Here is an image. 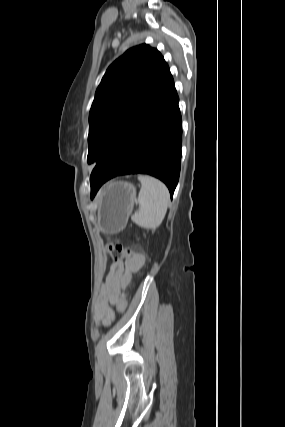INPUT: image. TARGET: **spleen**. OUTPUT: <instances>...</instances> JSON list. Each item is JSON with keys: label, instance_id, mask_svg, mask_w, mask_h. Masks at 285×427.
Masks as SVG:
<instances>
[{"label": "spleen", "instance_id": "obj_1", "mask_svg": "<svg viewBox=\"0 0 285 427\" xmlns=\"http://www.w3.org/2000/svg\"><path fill=\"white\" fill-rule=\"evenodd\" d=\"M138 180L141 182L136 200L139 211L131 216V220L142 228H156L166 215L169 191L161 181L151 176L139 175Z\"/></svg>", "mask_w": 285, "mask_h": 427}]
</instances>
